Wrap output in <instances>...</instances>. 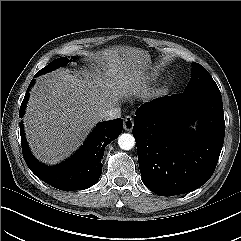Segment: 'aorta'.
Wrapping results in <instances>:
<instances>
[{"label": "aorta", "mask_w": 241, "mask_h": 241, "mask_svg": "<svg viewBox=\"0 0 241 241\" xmlns=\"http://www.w3.org/2000/svg\"><path fill=\"white\" fill-rule=\"evenodd\" d=\"M118 145L123 150H131L135 146L133 135L123 133L118 137Z\"/></svg>", "instance_id": "aorta-1"}]
</instances>
